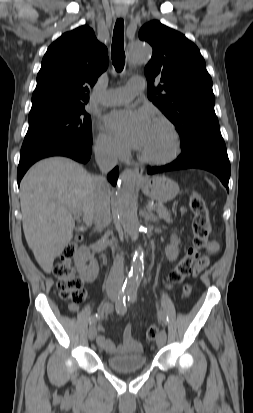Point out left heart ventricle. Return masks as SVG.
<instances>
[{
  "label": "left heart ventricle",
  "instance_id": "1",
  "mask_svg": "<svg viewBox=\"0 0 253 413\" xmlns=\"http://www.w3.org/2000/svg\"><path fill=\"white\" fill-rule=\"evenodd\" d=\"M171 147V138L167 130L163 126L153 123L141 150L151 156L163 157L171 151Z\"/></svg>",
  "mask_w": 253,
  "mask_h": 413
}]
</instances>
